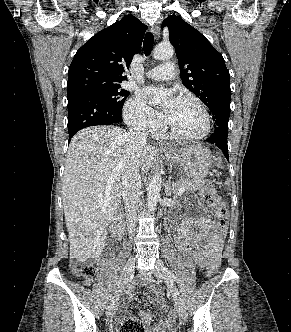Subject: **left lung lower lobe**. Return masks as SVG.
Returning a JSON list of instances; mask_svg holds the SVG:
<instances>
[{
	"label": "left lung lower lobe",
	"mask_w": 291,
	"mask_h": 332,
	"mask_svg": "<svg viewBox=\"0 0 291 332\" xmlns=\"http://www.w3.org/2000/svg\"><path fill=\"white\" fill-rule=\"evenodd\" d=\"M213 120L215 122L214 133L206 140L207 142L215 144L220 148L229 161L227 134H228V120L230 115V103L221 102L212 111Z\"/></svg>",
	"instance_id": "obj_1"
}]
</instances>
